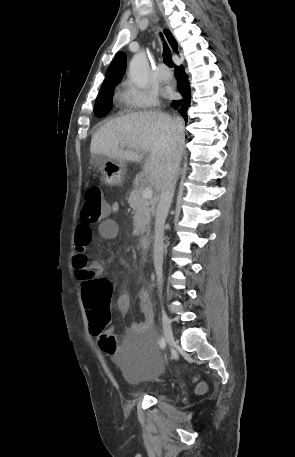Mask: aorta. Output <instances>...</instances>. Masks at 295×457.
Listing matches in <instances>:
<instances>
[{
	"mask_svg": "<svg viewBox=\"0 0 295 457\" xmlns=\"http://www.w3.org/2000/svg\"><path fill=\"white\" fill-rule=\"evenodd\" d=\"M129 78L140 89L148 86L149 64L145 52L136 53L129 64Z\"/></svg>",
	"mask_w": 295,
	"mask_h": 457,
	"instance_id": "obj_1",
	"label": "aorta"
}]
</instances>
